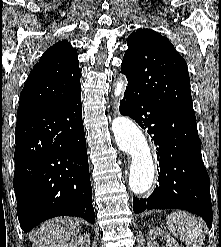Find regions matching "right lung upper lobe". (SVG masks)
I'll use <instances>...</instances> for the list:
<instances>
[{
  "label": "right lung upper lobe",
  "mask_w": 221,
  "mask_h": 247,
  "mask_svg": "<svg viewBox=\"0 0 221 247\" xmlns=\"http://www.w3.org/2000/svg\"><path fill=\"white\" fill-rule=\"evenodd\" d=\"M77 51L68 41L49 47L31 70L17 114L65 101L81 92Z\"/></svg>",
  "instance_id": "cb5924a9"
}]
</instances>
